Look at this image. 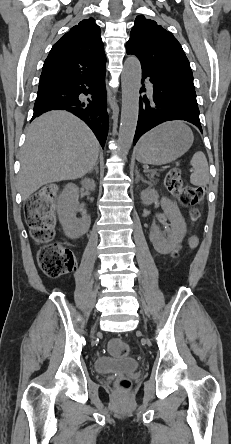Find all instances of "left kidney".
<instances>
[{
	"instance_id": "1",
	"label": "left kidney",
	"mask_w": 231,
	"mask_h": 444,
	"mask_svg": "<svg viewBox=\"0 0 231 444\" xmlns=\"http://www.w3.org/2000/svg\"><path fill=\"white\" fill-rule=\"evenodd\" d=\"M159 198L157 191L145 189L141 192V200L145 205L152 204ZM161 207L171 222V229L165 232L156 231L152 234L151 240L155 250L160 254H169L179 246L186 234V223L176 203L162 197ZM167 233V237H165Z\"/></svg>"
}]
</instances>
